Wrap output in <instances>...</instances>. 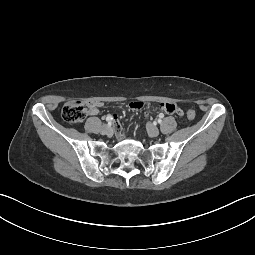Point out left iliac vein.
<instances>
[{"label": "left iliac vein", "mask_w": 255, "mask_h": 255, "mask_svg": "<svg viewBox=\"0 0 255 255\" xmlns=\"http://www.w3.org/2000/svg\"><path fill=\"white\" fill-rule=\"evenodd\" d=\"M147 130L151 137H157L159 135V129L151 123L147 125Z\"/></svg>", "instance_id": "1"}]
</instances>
